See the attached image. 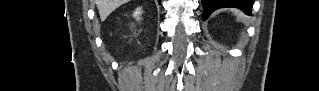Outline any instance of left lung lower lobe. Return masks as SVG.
Masks as SVG:
<instances>
[{"label": "left lung lower lobe", "mask_w": 319, "mask_h": 91, "mask_svg": "<svg viewBox=\"0 0 319 91\" xmlns=\"http://www.w3.org/2000/svg\"><path fill=\"white\" fill-rule=\"evenodd\" d=\"M203 4V20L207 19L209 15L216 9L224 7H235L250 14L253 0H202Z\"/></svg>", "instance_id": "0a47b994"}]
</instances>
